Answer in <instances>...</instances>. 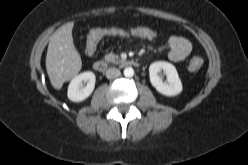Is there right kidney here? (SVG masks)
Listing matches in <instances>:
<instances>
[{"instance_id": "obj_1", "label": "right kidney", "mask_w": 248, "mask_h": 165, "mask_svg": "<svg viewBox=\"0 0 248 165\" xmlns=\"http://www.w3.org/2000/svg\"><path fill=\"white\" fill-rule=\"evenodd\" d=\"M96 77L91 71L83 72L75 76L68 86V98L73 102H81L88 98L95 87ZM83 82H87L85 87L82 86Z\"/></svg>"}]
</instances>
